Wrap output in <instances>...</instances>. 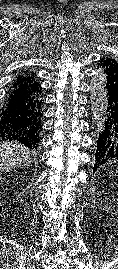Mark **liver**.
Listing matches in <instances>:
<instances>
[{
    "label": "liver",
    "mask_w": 118,
    "mask_h": 269,
    "mask_svg": "<svg viewBox=\"0 0 118 269\" xmlns=\"http://www.w3.org/2000/svg\"><path fill=\"white\" fill-rule=\"evenodd\" d=\"M31 161V152L18 142L5 141L0 144V169L9 171L26 166Z\"/></svg>",
    "instance_id": "obj_1"
}]
</instances>
